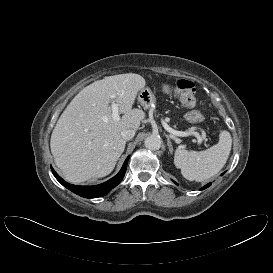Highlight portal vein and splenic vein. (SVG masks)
<instances>
[{"label":"portal vein and splenic vein","instance_id":"1","mask_svg":"<svg viewBox=\"0 0 273 273\" xmlns=\"http://www.w3.org/2000/svg\"><path fill=\"white\" fill-rule=\"evenodd\" d=\"M115 96H112V98H114ZM111 109H112V118L117 121L120 119L119 116V108L118 105L115 102L111 103ZM163 127L166 129V131H168L170 134H173L175 136H188V135H195L198 138V142L201 143L202 139L200 138L199 134L196 132H192V133H187V132H181V131H176L174 129H172L171 127L168 126L167 123L163 122Z\"/></svg>","mask_w":273,"mask_h":273}]
</instances>
